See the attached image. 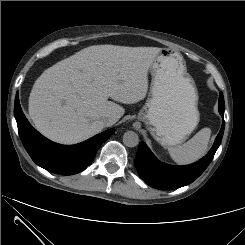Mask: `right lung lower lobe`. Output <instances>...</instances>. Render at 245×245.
<instances>
[{"instance_id": "obj_1", "label": "right lung lower lobe", "mask_w": 245, "mask_h": 245, "mask_svg": "<svg viewBox=\"0 0 245 245\" xmlns=\"http://www.w3.org/2000/svg\"><path fill=\"white\" fill-rule=\"evenodd\" d=\"M14 115L21 141L32 160L48 171L63 175L85 170L93 161L100 145L115 131L109 129L82 143L64 146L46 139L30 125L21 109L18 94Z\"/></svg>"}]
</instances>
